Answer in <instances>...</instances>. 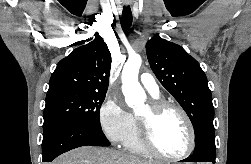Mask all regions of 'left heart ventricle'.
<instances>
[{"mask_svg":"<svg viewBox=\"0 0 251 164\" xmlns=\"http://www.w3.org/2000/svg\"><path fill=\"white\" fill-rule=\"evenodd\" d=\"M151 116L150 107L140 117ZM154 140L158 148L169 156L183 154L189 146V132L184 119L174 110L162 113L154 122Z\"/></svg>","mask_w":251,"mask_h":164,"instance_id":"1","label":"left heart ventricle"}]
</instances>
